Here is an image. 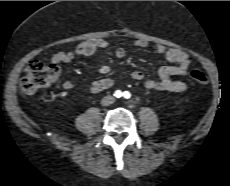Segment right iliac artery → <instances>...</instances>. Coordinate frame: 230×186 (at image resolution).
Here are the masks:
<instances>
[{"label":"right iliac artery","instance_id":"right-iliac-artery-1","mask_svg":"<svg viewBox=\"0 0 230 186\" xmlns=\"http://www.w3.org/2000/svg\"><path fill=\"white\" fill-rule=\"evenodd\" d=\"M123 95V93L120 90L115 91L114 96L116 98H120Z\"/></svg>","mask_w":230,"mask_h":186}]
</instances>
